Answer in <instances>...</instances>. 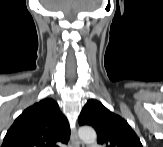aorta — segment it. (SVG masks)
<instances>
[{"instance_id": "762f6f07", "label": "aorta", "mask_w": 163, "mask_h": 147, "mask_svg": "<svg viewBox=\"0 0 163 147\" xmlns=\"http://www.w3.org/2000/svg\"><path fill=\"white\" fill-rule=\"evenodd\" d=\"M78 135L85 143H93L97 137L95 130L90 126L80 127L78 130Z\"/></svg>"}]
</instances>
